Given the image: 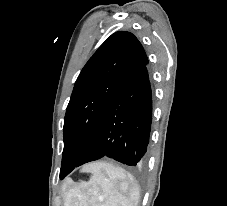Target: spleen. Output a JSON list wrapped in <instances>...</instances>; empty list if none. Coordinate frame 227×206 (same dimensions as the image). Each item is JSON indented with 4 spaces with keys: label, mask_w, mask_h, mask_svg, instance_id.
I'll list each match as a JSON object with an SVG mask.
<instances>
[{
    "label": "spleen",
    "mask_w": 227,
    "mask_h": 206,
    "mask_svg": "<svg viewBox=\"0 0 227 206\" xmlns=\"http://www.w3.org/2000/svg\"><path fill=\"white\" fill-rule=\"evenodd\" d=\"M90 182L70 187L64 193L65 206H138L140 188L122 168L97 163L87 169Z\"/></svg>",
    "instance_id": "spleen-1"
}]
</instances>
